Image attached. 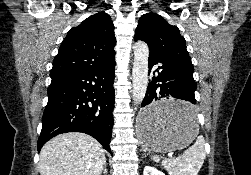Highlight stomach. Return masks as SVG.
<instances>
[{
	"mask_svg": "<svg viewBox=\"0 0 251 175\" xmlns=\"http://www.w3.org/2000/svg\"><path fill=\"white\" fill-rule=\"evenodd\" d=\"M188 100H156L137 117L136 133L141 145L150 151H175L195 139L200 119L196 106H186ZM183 111H193L184 114Z\"/></svg>",
	"mask_w": 251,
	"mask_h": 175,
	"instance_id": "obj_1",
	"label": "stomach"
}]
</instances>
